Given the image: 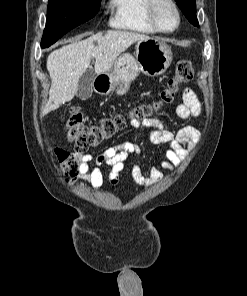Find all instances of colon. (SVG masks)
I'll return each instance as SVG.
<instances>
[{"label":"colon","instance_id":"5ec220e1","mask_svg":"<svg viewBox=\"0 0 247 296\" xmlns=\"http://www.w3.org/2000/svg\"><path fill=\"white\" fill-rule=\"evenodd\" d=\"M192 78L193 68L191 62L188 60L179 61L174 73L169 78L167 88L161 93L158 103L153 106H137L132 109L129 115L113 113L102 117L94 124L86 123L80 108H71L63 116V121L66 135L73 144L75 152H69L64 149L57 150V157L64 172L71 177L76 175L80 166V154H84L86 151L110 139L116 132L126 126L128 118L140 119L148 117L154 109L171 103L180 91L181 86L191 81Z\"/></svg>","mask_w":247,"mask_h":296}]
</instances>
